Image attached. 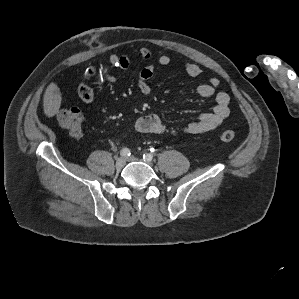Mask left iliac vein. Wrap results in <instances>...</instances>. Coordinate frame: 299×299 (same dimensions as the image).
<instances>
[{
    "instance_id": "4c4485c4",
    "label": "left iliac vein",
    "mask_w": 299,
    "mask_h": 299,
    "mask_svg": "<svg viewBox=\"0 0 299 299\" xmlns=\"http://www.w3.org/2000/svg\"><path fill=\"white\" fill-rule=\"evenodd\" d=\"M127 161L134 162V161H140V159H138L136 157H129V158H127ZM146 162L150 163V161H146Z\"/></svg>"
}]
</instances>
